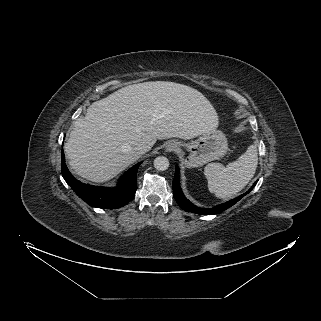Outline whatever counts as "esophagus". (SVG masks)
<instances>
[{"label":"esophagus","instance_id":"34e87169","mask_svg":"<svg viewBox=\"0 0 321 321\" xmlns=\"http://www.w3.org/2000/svg\"><path fill=\"white\" fill-rule=\"evenodd\" d=\"M177 148H178V145L176 143H169V144L166 145L164 150L166 152H171V151L176 150Z\"/></svg>","mask_w":321,"mask_h":321}]
</instances>
